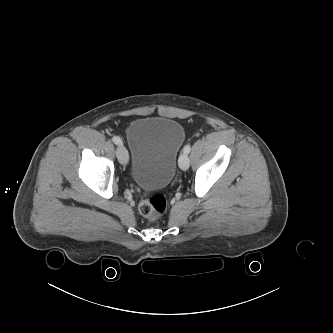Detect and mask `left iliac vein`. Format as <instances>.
<instances>
[{
  "label": "left iliac vein",
  "mask_w": 333,
  "mask_h": 333,
  "mask_svg": "<svg viewBox=\"0 0 333 333\" xmlns=\"http://www.w3.org/2000/svg\"><path fill=\"white\" fill-rule=\"evenodd\" d=\"M178 162H179V167L182 170H187L189 168L190 160H189V157L186 153H183V154L180 155Z\"/></svg>",
  "instance_id": "left-iliac-vein-1"
}]
</instances>
